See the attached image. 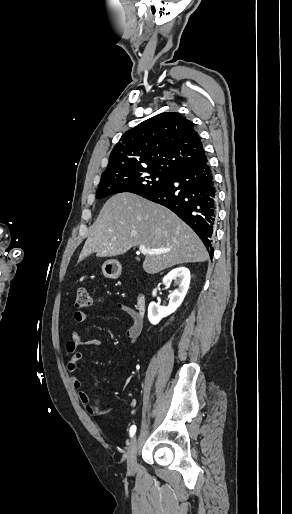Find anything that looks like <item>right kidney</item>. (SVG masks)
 Instances as JSON below:
<instances>
[{
  "label": "right kidney",
  "instance_id": "1",
  "mask_svg": "<svg viewBox=\"0 0 292 514\" xmlns=\"http://www.w3.org/2000/svg\"><path fill=\"white\" fill-rule=\"evenodd\" d=\"M190 272L188 268H175L171 270L165 278H163V284L169 288L172 280H174L175 286H178L177 290H174L170 294V300L168 306H160L156 302H151L148 306V320L151 324H159L162 318L173 314L179 306H181L189 288L190 284ZM153 296H156V290H153Z\"/></svg>",
  "mask_w": 292,
  "mask_h": 514
}]
</instances>
